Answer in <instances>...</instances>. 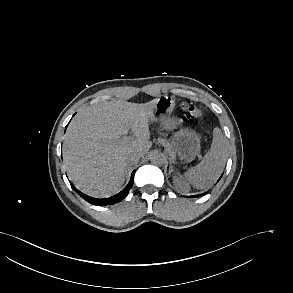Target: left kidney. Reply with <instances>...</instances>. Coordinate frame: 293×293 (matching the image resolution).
I'll return each instance as SVG.
<instances>
[{
    "label": "left kidney",
    "instance_id": "obj_1",
    "mask_svg": "<svg viewBox=\"0 0 293 293\" xmlns=\"http://www.w3.org/2000/svg\"><path fill=\"white\" fill-rule=\"evenodd\" d=\"M173 182H174L175 186H177L181 189L187 188L185 181H183L181 177H174Z\"/></svg>",
    "mask_w": 293,
    "mask_h": 293
}]
</instances>
